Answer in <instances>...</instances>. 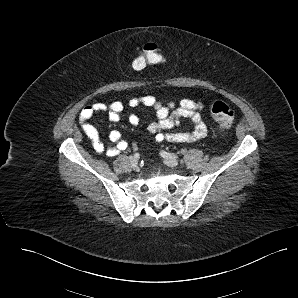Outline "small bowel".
I'll use <instances>...</instances> for the list:
<instances>
[{"label": "small bowel", "mask_w": 298, "mask_h": 298, "mask_svg": "<svg viewBox=\"0 0 298 298\" xmlns=\"http://www.w3.org/2000/svg\"><path fill=\"white\" fill-rule=\"evenodd\" d=\"M140 105L151 107L155 110V120L150 123L147 131L153 135L154 141L157 143L164 141L172 143L196 142L208 135L207 126L201 115L204 104L199 101L191 99L162 100L152 95H145L131 98L126 104L120 101L110 104L98 102L85 106L79 114L80 126L97 153L110 157L117 156L128 148V142L123 139L119 131L112 130L109 133V139L112 144L106 145L103 143L97 128L90 123L92 117L106 112L110 121L117 122L123 117V111L126 106L136 108ZM182 118L190 119L193 129L190 132L169 131L178 128ZM127 120L133 126L139 124V117L133 113L127 115Z\"/></svg>", "instance_id": "1"}]
</instances>
